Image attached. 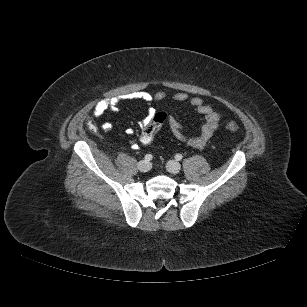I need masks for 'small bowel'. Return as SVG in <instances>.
<instances>
[{
	"label": "small bowel",
	"mask_w": 307,
	"mask_h": 307,
	"mask_svg": "<svg viewBox=\"0 0 307 307\" xmlns=\"http://www.w3.org/2000/svg\"><path fill=\"white\" fill-rule=\"evenodd\" d=\"M167 97V93L164 91H159L152 95L148 92H138L134 94H128L122 96L120 99H140L147 103L148 109L146 116L139 122L140 128L143 130L147 127L153 120L156 114V109L154 107L155 102L164 100ZM120 99L111 98L105 99L99 102L93 110V115L96 118L107 116L108 113H114L119 110L118 102ZM171 99L176 102H188L194 110L204 117V122L201 126L200 132L193 137L187 136L180 125V123L173 117L169 119V128L172 134L179 140L187 143L189 146L194 148H202L205 146L207 141L211 138L213 133L217 130L220 121V115L213 109V107L204 102L199 97L189 98L186 93L179 92L172 95ZM92 130H96L94 124H90ZM112 125L109 121H106L103 126V132L107 133L111 130ZM126 133L131 135L133 133L132 128H127Z\"/></svg>",
	"instance_id": "small-bowel-1"
}]
</instances>
